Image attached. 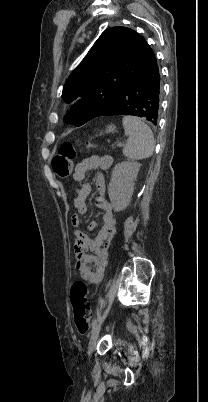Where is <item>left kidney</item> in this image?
Returning a JSON list of instances; mask_svg holds the SVG:
<instances>
[{
	"label": "left kidney",
	"instance_id": "1",
	"mask_svg": "<svg viewBox=\"0 0 208 402\" xmlns=\"http://www.w3.org/2000/svg\"><path fill=\"white\" fill-rule=\"evenodd\" d=\"M140 166L141 164H138V162L116 164L108 186L110 202L115 212H122L127 208L133 196L134 182L138 176Z\"/></svg>",
	"mask_w": 208,
	"mask_h": 402
}]
</instances>
